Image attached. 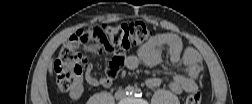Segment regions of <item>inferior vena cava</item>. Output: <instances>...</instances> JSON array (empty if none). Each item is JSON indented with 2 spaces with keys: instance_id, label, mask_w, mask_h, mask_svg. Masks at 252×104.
<instances>
[{
  "instance_id": "inferior-vena-cava-1",
  "label": "inferior vena cava",
  "mask_w": 252,
  "mask_h": 104,
  "mask_svg": "<svg viewBox=\"0 0 252 104\" xmlns=\"http://www.w3.org/2000/svg\"><path fill=\"white\" fill-rule=\"evenodd\" d=\"M126 97V94L123 90H118L116 93H115V98L117 100H122Z\"/></svg>"
}]
</instances>
